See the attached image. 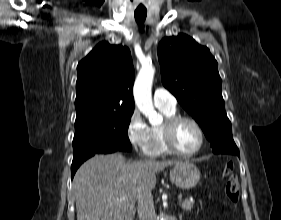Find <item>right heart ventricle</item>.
Segmentation results:
<instances>
[{"label": "right heart ventricle", "instance_id": "obj_1", "mask_svg": "<svg viewBox=\"0 0 281 220\" xmlns=\"http://www.w3.org/2000/svg\"><path fill=\"white\" fill-rule=\"evenodd\" d=\"M166 119L175 115L174 110H168L165 108H159ZM171 152L167 149L163 141L162 126L150 127V140L146 151V155L151 157H159L170 154Z\"/></svg>", "mask_w": 281, "mask_h": 220}]
</instances>
